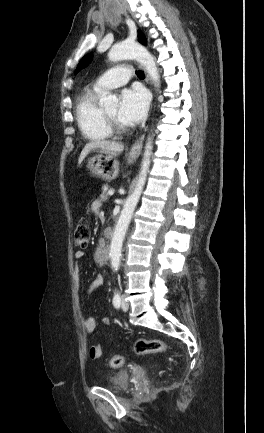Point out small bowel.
Returning a JSON list of instances; mask_svg holds the SVG:
<instances>
[{
    "instance_id": "obj_1",
    "label": "small bowel",
    "mask_w": 264,
    "mask_h": 433,
    "mask_svg": "<svg viewBox=\"0 0 264 433\" xmlns=\"http://www.w3.org/2000/svg\"><path fill=\"white\" fill-rule=\"evenodd\" d=\"M101 205H102V203H101L100 200H94L91 203V206H90L91 211L94 212V213H96V214H98L100 212ZM84 255H85V253L83 251H77L75 253V258L77 260H80V259H82L84 257ZM74 273H75V278H76L77 282L79 283L80 276H81V269H80V266L78 264L75 266ZM103 282H104L103 276L102 275H97L90 282V284H89V286L87 288V293L90 294L95 288H97L98 286L102 285ZM102 322L104 324H106V325H109L110 322H111V320H110L109 317L105 316V317L102 318ZM83 327H84V329H85V331L87 333H90V334L94 333L95 330H96V321H95L94 317H92L91 315H86L83 318ZM101 355H102V348H101V346H99V345H93V346L90 347V349H89V357L92 360H98L101 357Z\"/></svg>"
}]
</instances>
